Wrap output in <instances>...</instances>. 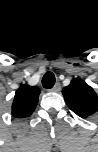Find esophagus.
<instances>
[{
    "mask_svg": "<svg viewBox=\"0 0 98 152\" xmlns=\"http://www.w3.org/2000/svg\"><path fill=\"white\" fill-rule=\"evenodd\" d=\"M61 90V85H60V83H56L55 85H54V87L51 89V91H53V92H59Z\"/></svg>",
    "mask_w": 98,
    "mask_h": 152,
    "instance_id": "obj_1",
    "label": "esophagus"
}]
</instances>
